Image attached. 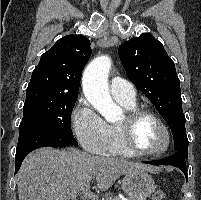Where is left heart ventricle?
<instances>
[{"label": "left heart ventricle", "instance_id": "1", "mask_svg": "<svg viewBox=\"0 0 201 200\" xmlns=\"http://www.w3.org/2000/svg\"><path fill=\"white\" fill-rule=\"evenodd\" d=\"M134 142L142 151H157L163 147L165 136L155 121L150 118H145L135 127Z\"/></svg>", "mask_w": 201, "mask_h": 200}]
</instances>
